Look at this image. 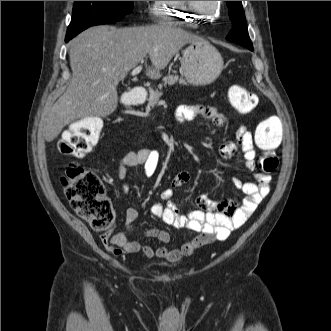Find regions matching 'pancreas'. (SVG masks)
Wrapping results in <instances>:
<instances>
[{
	"label": "pancreas",
	"instance_id": "pancreas-1",
	"mask_svg": "<svg viewBox=\"0 0 331 331\" xmlns=\"http://www.w3.org/2000/svg\"><path fill=\"white\" fill-rule=\"evenodd\" d=\"M179 82V84H183L186 85L187 83L185 82V80H183L182 78H179L178 76H167L165 78H163V83L160 85V91L159 90H151L150 91V97H149V103L151 106H155V104L158 102L159 98L162 96V92L161 89L163 86L168 85H174L175 83Z\"/></svg>",
	"mask_w": 331,
	"mask_h": 331
}]
</instances>
